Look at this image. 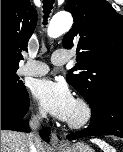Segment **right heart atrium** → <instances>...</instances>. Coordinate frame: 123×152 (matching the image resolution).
Returning <instances> with one entry per match:
<instances>
[{"instance_id": "obj_1", "label": "right heart atrium", "mask_w": 123, "mask_h": 152, "mask_svg": "<svg viewBox=\"0 0 123 152\" xmlns=\"http://www.w3.org/2000/svg\"><path fill=\"white\" fill-rule=\"evenodd\" d=\"M34 117L37 119H41L45 116V111L41 108H38L34 111Z\"/></svg>"}]
</instances>
